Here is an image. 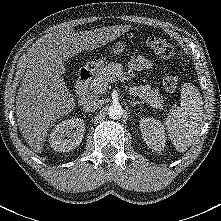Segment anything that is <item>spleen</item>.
<instances>
[{
  "label": "spleen",
  "instance_id": "obj_1",
  "mask_svg": "<svg viewBox=\"0 0 221 221\" xmlns=\"http://www.w3.org/2000/svg\"><path fill=\"white\" fill-rule=\"evenodd\" d=\"M202 118L203 101L200 92L191 83L183 84L180 107L170 111L165 122L168 136L177 151L185 152L194 143Z\"/></svg>",
  "mask_w": 221,
  "mask_h": 221
}]
</instances>
